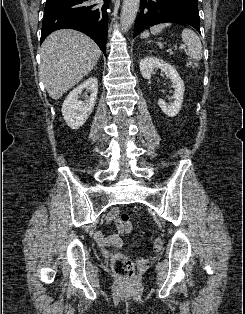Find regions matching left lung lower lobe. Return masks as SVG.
<instances>
[{"label": "left lung lower lobe", "mask_w": 245, "mask_h": 314, "mask_svg": "<svg viewBox=\"0 0 245 314\" xmlns=\"http://www.w3.org/2000/svg\"><path fill=\"white\" fill-rule=\"evenodd\" d=\"M141 12L136 18L134 37L144 29L167 22H179L191 25L200 32L198 7L188 2L175 0H141ZM148 12L144 13V9Z\"/></svg>", "instance_id": "left-lung-lower-lobe-1"}]
</instances>
